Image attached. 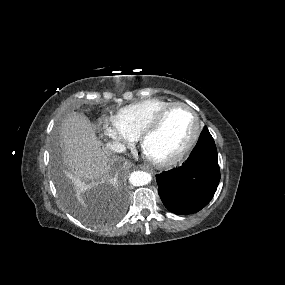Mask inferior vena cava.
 Wrapping results in <instances>:
<instances>
[{
	"instance_id": "obj_1",
	"label": "inferior vena cava",
	"mask_w": 285,
	"mask_h": 285,
	"mask_svg": "<svg viewBox=\"0 0 285 285\" xmlns=\"http://www.w3.org/2000/svg\"><path fill=\"white\" fill-rule=\"evenodd\" d=\"M106 147L108 150L114 153H122L126 151L125 145L118 141L109 142L107 143Z\"/></svg>"
}]
</instances>
